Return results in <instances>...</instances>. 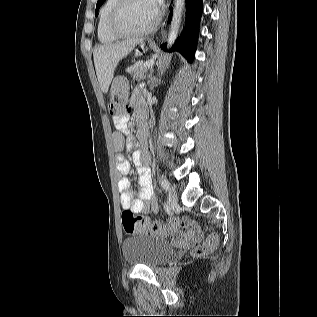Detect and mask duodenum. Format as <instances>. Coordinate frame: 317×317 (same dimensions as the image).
Returning a JSON list of instances; mask_svg holds the SVG:
<instances>
[{
  "mask_svg": "<svg viewBox=\"0 0 317 317\" xmlns=\"http://www.w3.org/2000/svg\"><path fill=\"white\" fill-rule=\"evenodd\" d=\"M139 132H140V135L142 136L143 135L142 131L140 130Z\"/></svg>",
  "mask_w": 317,
  "mask_h": 317,
  "instance_id": "duodenum-1",
  "label": "duodenum"
}]
</instances>
